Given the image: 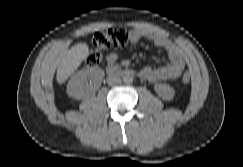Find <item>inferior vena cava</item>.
<instances>
[{
  "label": "inferior vena cava",
  "mask_w": 243,
  "mask_h": 167,
  "mask_svg": "<svg viewBox=\"0 0 243 167\" xmlns=\"http://www.w3.org/2000/svg\"><path fill=\"white\" fill-rule=\"evenodd\" d=\"M121 82L120 77L118 76H110L107 80L108 85L113 86Z\"/></svg>",
  "instance_id": "602c4592"
}]
</instances>
